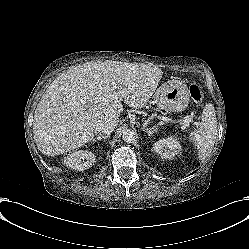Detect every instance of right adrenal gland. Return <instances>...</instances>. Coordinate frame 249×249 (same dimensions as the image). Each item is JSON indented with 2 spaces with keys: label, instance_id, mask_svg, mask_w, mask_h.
Instances as JSON below:
<instances>
[{
  "label": "right adrenal gland",
  "instance_id": "1",
  "mask_svg": "<svg viewBox=\"0 0 249 249\" xmlns=\"http://www.w3.org/2000/svg\"><path fill=\"white\" fill-rule=\"evenodd\" d=\"M107 138H108V136L101 135V136H98L97 138L93 139V141L96 142V141L103 140V139L105 140Z\"/></svg>",
  "mask_w": 249,
  "mask_h": 249
}]
</instances>
